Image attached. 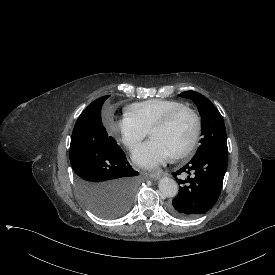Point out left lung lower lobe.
Masks as SVG:
<instances>
[{
	"mask_svg": "<svg viewBox=\"0 0 275 275\" xmlns=\"http://www.w3.org/2000/svg\"><path fill=\"white\" fill-rule=\"evenodd\" d=\"M228 150H210L182 167L173 176L187 173L185 181L178 179V195L168 206L169 212L178 218H193L206 213L217 202L227 169ZM185 184V185H182Z\"/></svg>",
	"mask_w": 275,
	"mask_h": 275,
	"instance_id": "1",
	"label": "left lung lower lobe"
}]
</instances>
